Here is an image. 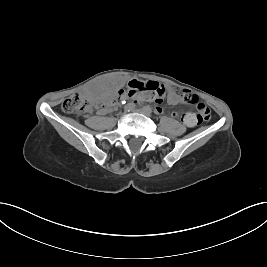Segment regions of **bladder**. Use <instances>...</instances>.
Instances as JSON below:
<instances>
[{
    "mask_svg": "<svg viewBox=\"0 0 267 267\" xmlns=\"http://www.w3.org/2000/svg\"><path fill=\"white\" fill-rule=\"evenodd\" d=\"M116 90V86L112 88V91L114 92Z\"/></svg>",
    "mask_w": 267,
    "mask_h": 267,
    "instance_id": "31cf9c89",
    "label": "bladder"
}]
</instances>
